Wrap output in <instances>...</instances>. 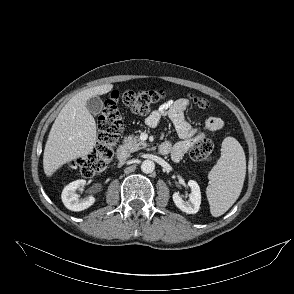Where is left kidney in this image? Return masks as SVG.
<instances>
[{"label":"left kidney","mask_w":294,"mask_h":294,"mask_svg":"<svg viewBox=\"0 0 294 294\" xmlns=\"http://www.w3.org/2000/svg\"><path fill=\"white\" fill-rule=\"evenodd\" d=\"M188 186L191 189L188 200H183L178 193L173 194L175 205L187 214H195L199 211L201 204V191L198 183L194 180L188 181Z\"/></svg>","instance_id":"5707ae66"}]
</instances>
